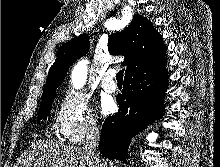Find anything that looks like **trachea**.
Segmentation results:
<instances>
[{"mask_svg": "<svg viewBox=\"0 0 220 167\" xmlns=\"http://www.w3.org/2000/svg\"><path fill=\"white\" fill-rule=\"evenodd\" d=\"M123 73H124V70H120L117 75H116V80L118 83H122L123 82Z\"/></svg>", "mask_w": 220, "mask_h": 167, "instance_id": "1", "label": "trachea"}]
</instances>
